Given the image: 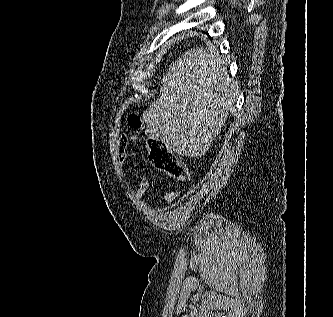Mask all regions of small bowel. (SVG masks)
<instances>
[{"label":"small bowel","mask_w":333,"mask_h":317,"mask_svg":"<svg viewBox=\"0 0 333 317\" xmlns=\"http://www.w3.org/2000/svg\"><path fill=\"white\" fill-rule=\"evenodd\" d=\"M138 139L137 135L128 136L122 135L118 144V161L123 164L127 157V148ZM149 189V181L143 177L137 187L134 189V195L136 197H142ZM178 193L175 191H169L161 194L160 198L165 202H171L177 197Z\"/></svg>","instance_id":"small-bowel-1"}]
</instances>
